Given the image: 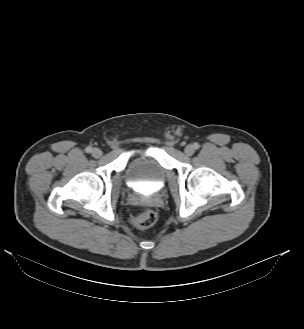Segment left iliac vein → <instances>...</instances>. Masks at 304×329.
<instances>
[{"label": "left iliac vein", "instance_id": "left-iliac-vein-1", "mask_svg": "<svg viewBox=\"0 0 304 329\" xmlns=\"http://www.w3.org/2000/svg\"><path fill=\"white\" fill-rule=\"evenodd\" d=\"M194 152H195V149H194V146H193V145H187V146L185 147V154H186L187 156H191V155H193Z\"/></svg>", "mask_w": 304, "mask_h": 329}]
</instances>
